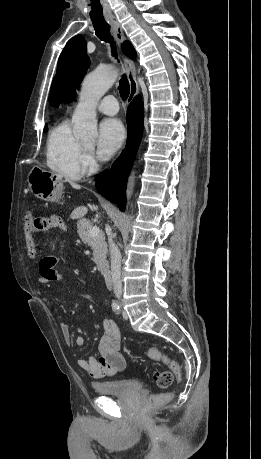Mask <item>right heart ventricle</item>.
I'll return each instance as SVG.
<instances>
[{
	"mask_svg": "<svg viewBox=\"0 0 261 459\" xmlns=\"http://www.w3.org/2000/svg\"><path fill=\"white\" fill-rule=\"evenodd\" d=\"M82 143L73 135L71 125L63 121L50 132L46 142L47 166L60 176L77 180L83 173Z\"/></svg>",
	"mask_w": 261,
	"mask_h": 459,
	"instance_id": "1",
	"label": "right heart ventricle"
}]
</instances>
